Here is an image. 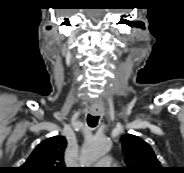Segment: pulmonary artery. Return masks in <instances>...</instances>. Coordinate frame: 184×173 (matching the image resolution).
Wrapping results in <instances>:
<instances>
[{"label":"pulmonary artery","mask_w":184,"mask_h":173,"mask_svg":"<svg viewBox=\"0 0 184 173\" xmlns=\"http://www.w3.org/2000/svg\"><path fill=\"white\" fill-rule=\"evenodd\" d=\"M100 167H105L107 168L108 166H111L113 164L112 158L111 157H103L98 163Z\"/></svg>","instance_id":"pulmonary-artery-1"}]
</instances>
